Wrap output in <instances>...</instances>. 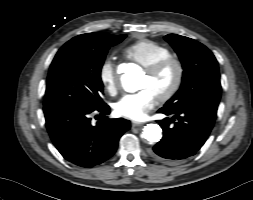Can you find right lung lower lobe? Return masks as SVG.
I'll list each match as a JSON object with an SVG mask.
<instances>
[{
  "label": "right lung lower lobe",
  "mask_w": 253,
  "mask_h": 200,
  "mask_svg": "<svg viewBox=\"0 0 253 200\" xmlns=\"http://www.w3.org/2000/svg\"><path fill=\"white\" fill-rule=\"evenodd\" d=\"M99 113V121L92 125L90 114ZM108 105L84 108L58 105L44 108L49 135L68 161L81 167H93L109 159L116 151L122 134L129 130L125 119H106Z\"/></svg>",
  "instance_id": "98d812e1"
}]
</instances>
